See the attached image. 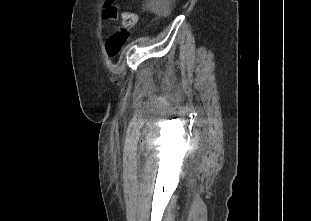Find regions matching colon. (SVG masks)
<instances>
[{
	"instance_id": "obj_1",
	"label": "colon",
	"mask_w": 311,
	"mask_h": 221,
	"mask_svg": "<svg viewBox=\"0 0 311 221\" xmlns=\"http://www.w3.org/2000/svg\"><path fill=\"white\" fill-rule=\"evenodd\" d=\"M117 3L118 0H106V4L101 11V16L105 17L107 20L118 19L119 7ZM121 17V24H135L137 18L136 14L132 12H124L122 13ZM128 36L129 33H114L108 36L105 42V50L110 58L116 57L121 52L127 43Z\"/></svg>"
}]
</instances>
